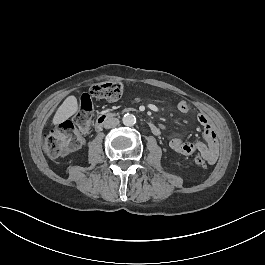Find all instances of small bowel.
Returning <instances> with one entry per match:
<instances>
[{"mask_svg": "<svg viewBox=\"0 0 265 265\" xmlns=\"http://www.w3.org/2000/svg\"><path fill=\"white\" fill-rule=\"evenodd\" d=\"M177 108L181 113L187 114L192 111V105L186 100H180ZM197 121L203 127L206 143L203 142H183L179 138H172L169 147L176 153L182 155H192L198 152L202 155L208 164H214L218 158V145L215 132L210 120L203 114L196 116Z\"/></svg>", "mask_w": 265, "mask_h": 265, "instance_id": "small-bowel-1", "label": "small bowel"}]
</instances>
